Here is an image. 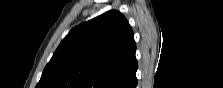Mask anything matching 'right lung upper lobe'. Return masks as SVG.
I'll return each instance as SVG.
<instances>
[{"instance_id": "cb5924a9", "label": "right lung upper lobe", "mask_w": 223, "mask_h": 88, "mask_svg": "<svg viewBox=\"0 0 223 88\" xmlns=\"http://www.w3.org/2000/svg\"><path fill=\"white\" fill-rule=\"evenodd\" d=\"M134 34L118 11L73 28L36 88H132L138 68Z\"/></svg>"}]
</instances>
